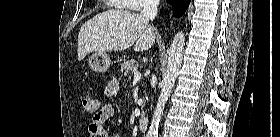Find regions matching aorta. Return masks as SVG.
Listing matches in <instances>:
<instances>
[{"label": "aorta", "mask_w": 280, "mask_h": 137, "mask_svg": "<svg viewBox=\"0 0 280 137\" xmlns=\"http://www.w3.org/2000/svg\"><path fill=\"white\" fill-rule=\"evenodd\" d=\"M184 46L185 36L184 33L180 31L174 36L173 41L168 49V63L166 72L161 82L162 89L158 97L149 130L147 132V137H158L161 117L182 64Z\"/></svg>", "instance_id": "obj_1"}]
</instances>
